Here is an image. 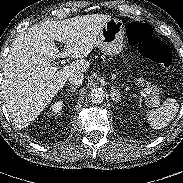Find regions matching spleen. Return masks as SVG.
I'll return each instance as SVG.
<instances>
[{
    "label": "spleen",
    "instance_id": "obj_1",
    "mask_svg": "<svg viewBox=\"0 0 183 183\" xmlns=\"http://www.w3.org/2000/svg\"><path fill=\"white\" fill-rule=\"evenodd\" d=\"M179 104L175 99H167L162 107L158 109H152L144 113L147 122L154 130H160L166 127L177 114Z\"/></svg>",
    "mask_w": 183,
    "mask_h": 183
}]
</instances>
